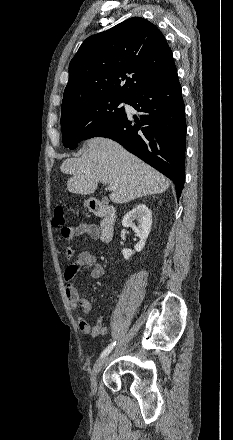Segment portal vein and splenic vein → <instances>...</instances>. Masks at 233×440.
I'll return each mask as SVG.
<instances>
[{
    "instance_id": "1",
    "label": "portal vein and splenic vein",
    "mask_w": 233,
    "mask_h": 440,
    "mask_svg": "<svg viewBox=\"0 0 233 440\" xmlns=\"http://www.w3.org/2000/svg\"><path fill=\"white\" fill-rule=\"evenodd\" d=\"M108 189H109V191H114V190H116V186L109 185Z\"/></svg>"
}]
</instances>
